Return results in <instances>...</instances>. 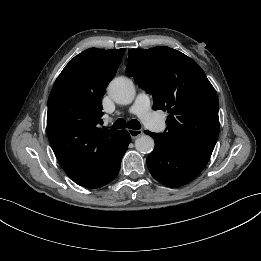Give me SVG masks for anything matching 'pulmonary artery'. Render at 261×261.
<instances>
[{
  "mask_svg": "<svg viewBox=\"0 0 261 261\" xmlns=\"http://www.w3.org/2000/svg\"><path fill=\"white\" fill-rule=\"evenodd\" d=\"M132 114L140 117L142 122L152 129H158L160 121L151 109V100L148 94L140 92L130 108Z\"/></svg>",
  "mask_w": 261,
  "mask_h": 261,
  "instance_id": "1",
  "label": "pulmonary artery"
}]
</instances>
